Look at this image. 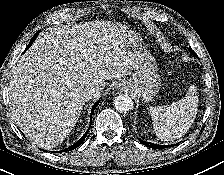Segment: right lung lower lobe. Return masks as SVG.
<instances>
[{
    "label": "right lung lower lobe",
    "mask_w": 224,
    "mask_h": 175,
    "mask_svg": "<svg viewBox=\"0 0 224 175\" xmlns=\"http://www.w3.org/2000/svg\"><path fill=\"white\" fill-rule=\"evenodd\" d=\"M37 35H38V34H36V35L31 39V41H30L28 47L26 48V50L32 45V43L34 42V40H35V38L37 37ZM98 103H99V102H96V103L94 104V106L92 107L91 118H92V114H93L95 108L97 107ZM91 124H92V121L90 122V126H91ZM87 133H88V131H87V132L82 136V138H81L80 140H78L75 144H73V145L70 146L69 148H66L65 150H62L61 152L71 151V150L77 148L79 145H81V144L83 143L84 139H85L86 136H87ZM58 153H59V152H58Z\"/></svg>",
    "instance_id": "right-lung-lower-lobe-1"
}]
</instances>
